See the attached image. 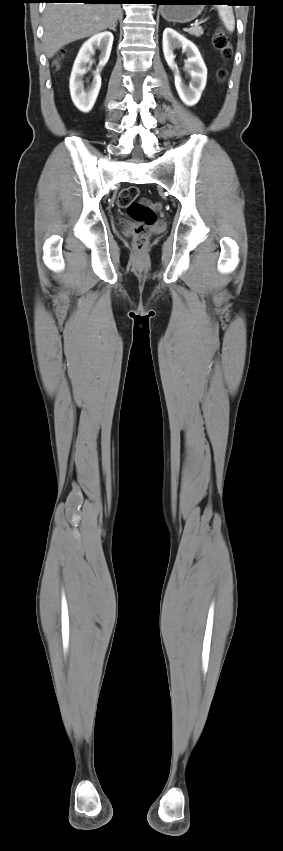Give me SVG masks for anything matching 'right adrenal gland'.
I'll return each instance as SVG.
<instances>
[{
    "mask_svg": "<svg viewBox=\"0 0 283 851\" xmlns=\"http://www.w3.org/2000/svg\"><path fill=\"white\" fill-rule=\"evenodd\" d=\"M116 26H117V24H116V25H114L113 27L109 28V29H110V30H113L114 32H116V29H115V28H116Z\"/></svg>",
    "mask_w": 283,
    "mask_h": 851,
    "instance_id": "right-adrenal-gland-1",
    "label": "right adrenal gland"
}]
</instances>
